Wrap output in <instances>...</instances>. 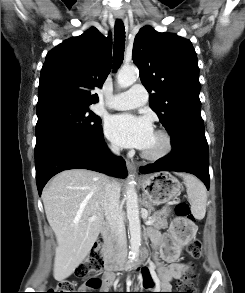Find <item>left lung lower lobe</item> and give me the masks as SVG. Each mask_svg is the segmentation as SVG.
<instances>
[{"label": "left lung lower lobe", "mask_w": 245, "mask_h": 293, "mask_svg": "<svg viewBox=\"0 0 245 293\" xmlns=\"http://www.w3.org/2000/svg\"><path fill=\"white\" fill-rule=\"evenodd\" d=\"M172 151L153 164L140 167L143 174L158 171L188 172L209 189V153L204 131L181 129L171 134Z\"/></svg>", "instance_id": "0a47b994"}]
</instances>
